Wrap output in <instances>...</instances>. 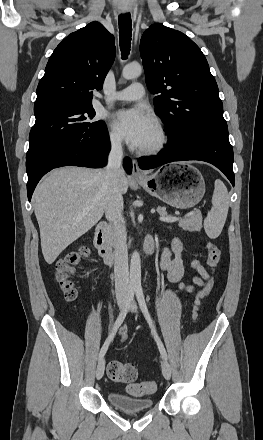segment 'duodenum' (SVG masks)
<instances>
[{
    "label": "duodenum",
    "instance_id": "410a0bca",
    "mask_svg": "<svg viewBox=\"0 0 263 440\" xmlns=\"http://www.w3.org/2000/svg\"><path fill=\"white\" fill-rule=\"evenodd\" d=\"M107 232H108V223L106 222L98 223V225L96 226L93 242L100 257L107 264L112 265L115 262V257L112 248L108 242ZM144 250L147 255L153 253L154 247L152 240L146 241L144 245Z\"/></svg>",
    "mask_w": 263,
    "mask_h": 440
}]
</instances>
